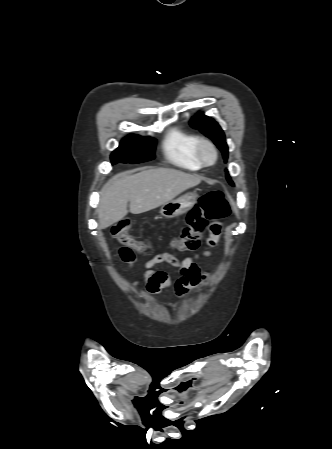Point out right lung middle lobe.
<instances>
[{
	"label": "right lung middle lobe",
	"instance_id": "right-lung-middle-lobe-1",
	"mask_svg": "<svg viewBox=\"0 0 332 449\" xmlns=\"http://www.w3.org/2000/svg\"><path fill=\"white\" fill-rule=\"evenodd\" d=\"M155 139L129 135L111 154V163H141L154 159Z\"/></svg>",
	"mask_w": 332,
	"mask_h": 449
}]
</instances>
